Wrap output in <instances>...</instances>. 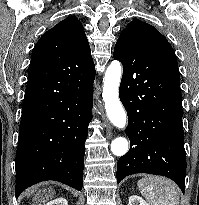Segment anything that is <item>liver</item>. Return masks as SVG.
I'll list each match as a JSON object with an SVG mask.
<instances>
[{
    "label": "liver",
    "mask_w": 199,
    "mask_h": 205,
    "mask_svg": "<svg viewBox=\"0 0 199 205\" xmlns=\"http://www.w3.org/2000/svg\"><path fill=\"white\" fill-rule=\"evenodd\" d=\"M39 195H42L41 192H39V193L37 194V197H35V199H34V203H35V204H38V203H39V201H38ZM52 197H53V192H51V194H50L49 196L45 197L44 200L52 199Z\"/></svg>",
    "instance_id": "1"
}]
</instances>
